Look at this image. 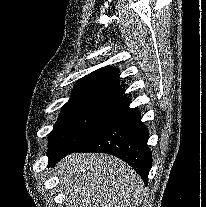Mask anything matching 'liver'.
<instances>
[{
  "label": "liver",
  "mask_w": 206,
  "mask_h": 207,
  "mask_svg": "<svg viewBox=\"0 0 206 207\" xmlns=\"http://www.w3.org/2000/svg\"><path fill=\"white\" fill-rule=\"evenodd\" d=\"M56 169L66 207H137L143 200L140 176L111 155L73 153Z\"/></svg>",
  "instance_id": "6515ba94"
}]
</instances>
